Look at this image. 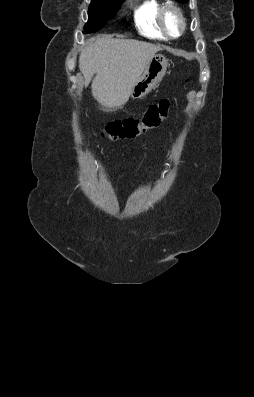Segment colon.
Instances as JSON below:
<instances>
[{
	"label": "colon",
	"mask_w": 254,
	"mask_h": 397,
	"mask_svg": "<svg viewBox=\"0 0 254 397\" xmlns=\"http://www.w3.org/2000/svg\"><path fill=\"white\" fill-rule=\"evenodd\" d=\"M170 110V102L162 99L151 105L140 119H127L107 124L103 134L110 140L134 139L159 126Z\"/></svg>",
	"instance_id": "1"
}]
</instances>
